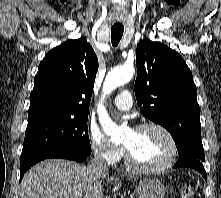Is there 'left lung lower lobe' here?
Segmentation results:
<instances>
[{"instance_id":"obj_1","label":"left lung lower lobe","mask_w":221,"mask_h":198,"mask_svg":"<svg viewBox=\"0 0 221 198\" xmlns=\"http://www.w3.org/2000/svg\"><path fill=\"white\" fill-rule=\"evenodd\" d=\"M177 167H190L193 168L197 171H199L203 177L205 178V180H207V175H206V171L204 170V166L202 161L198 160V159H194V158H180L176 164L174 165V168Z\"/></svg>"}]
</instances>
